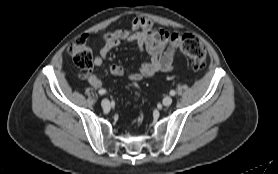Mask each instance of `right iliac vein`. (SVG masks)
I'll return each instance as SVG.
<instances>
[{
    "mask_svg": "<svg viewBox=\"0 0 278 174\" xmlns=\"http://www.w3.org/2000/svg\"><path fill=\"white\" fill-rule=\"evenodd\" d=\"M101 105L103 107V109H110V102L108 99H103L102 102H101Z\"/></svg>",
    "mask_w": 278,
    "mask_h": 174,
    "instance_id": "63e3f726",
    "label": "right iliac vein"
}]
</instances>
